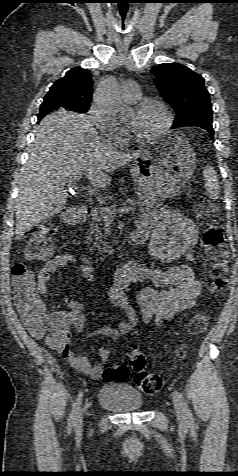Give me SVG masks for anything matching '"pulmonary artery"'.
Masks as SVG:
<instances>
[{"mask_svg":"<svg viewBox=\"0 0 238 476\" xmlns=\"http://www.w3.org/2000/svg\"><path fill=\"white\" fill-rule=\"evenodd\" d=\"M122 98L126 102H135L141 97L139 85L134 81H125L121 87Z\"/></svg>","mask_w":238,"mask_h":476,"instance_id":"e3ab8cb5","label":"pulmonary artery"}]
</instances>
